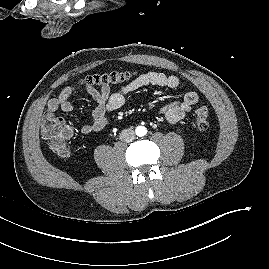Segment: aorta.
Listing matches in <instances>:
<instances>
[{"instance_id": "aorta-1", "label": "aorta", "mask_w": 269, "mask_h": 269, "mask_svg": "<svg viewBox=\"0 0 269 269\" xmlns=\"http://www.w3.org/2000/svg\"><path fill=\"white\" fill-rule=\"evenodd\" d=\"M136 135L139 137L145 136L147 133V129L144 126H138L136 129Z\"/></svg>"}]
</instances>
